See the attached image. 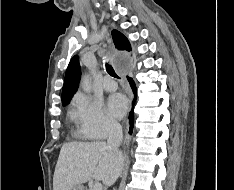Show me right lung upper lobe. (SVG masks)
<instances>
[{"label":"right lung upper lobe","instance_id":"right-lung-upper-lobe-1","mask_svg":"<svg viewBox=\"0 0 234 190\" xmlns=\"http://www.w3.org/2000/svg\"><path fill=\"white\" fill-rule=\"evenodd\" d=\"M112 37L118 50L131 51V46L128 39L121 32L113 30ZM80 74L79 59L78 56H74L66 70L62 89V104L69 103L73 94L76 92L80 80Z\"/></svg>","mask_w":234,"mask_h":190}]
</instances>
